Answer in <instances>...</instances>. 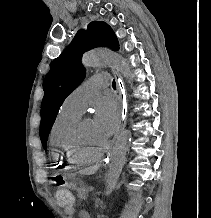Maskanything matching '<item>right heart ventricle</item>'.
<instances>
[{
  "instance_id": "right-heart-ventricle-1",
  "label": "right heart ventricle",
  "mask_w": 211,
  "mask_h": 218,
  "mask_svg": "<svg viewBox=\"0 0 211 218\" xmlns=\"http://www.w3.org/2000/svg\"><path fill=\"white\" fill-rule=\"evenodd\" d=\"M81 115L64 105L59 109L51 129L50 162L54 169H81V164L96 160L79 158L72 151L71 134Z\"/></svg>"
}]
</instances>
